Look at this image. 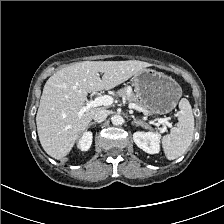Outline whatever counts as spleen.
I'll return each mask as SVG.
<instances>
[{
	"instance_id": "obj_1",
	"label": "spleen",
	"mask_w": 224,
	"mask_h": 224,
	"mask_svg": "<svg viewBox=\"0 0 224 224\" xmlns=\"http://www.w3.org/2000/svg\"><path fill=\"white\" fill-rule=\"evenodd\" d=\"M178 123L171 132L162 138V146L168 160H174L185 153L194 134V116L189 101L185 98L179 102Z\"/></svg>"
}]
</instances>
